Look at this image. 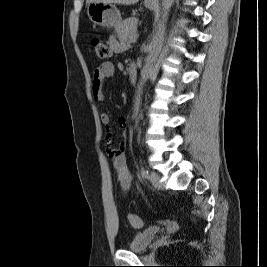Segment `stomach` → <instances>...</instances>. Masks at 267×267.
I'll list each match as a JSON object with an SVG mask.
<instances>
[{"instance_id":"0dacf381","label":"stomach","mask_w":267,"mask_h":267,"mask_svg":"<svg viewBox=\"0 0 267 267\" xmlns=\"http://www.w3.org/2000/svg\"><path fill=\"white\" fill-rule=\"evenodd\" d=\"M145 6L148 9L155 7V2L145 0ZM87 14L89 19L98 26L111 28L121 24L122 18L117 7L110 3L92 2L88 4Z\"/></svg>"}]
</instances>
